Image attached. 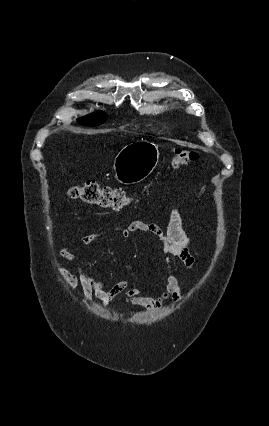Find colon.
I'll return each instance as SVG.
<instances>
[{"mask_svg":"<svg viewBox=\"0 0 269 426\" xmlns=\"http://www.w3.org/2000/svg\"><path fill=\"white\" fill-rule=\"evenodd\" d=\"M197 159L198 153L196 151L178 148L173 151L171 167L176 169L180 166L192 164ZM69 194L73 199L105 209L119 210L132 203V198L123 188L105 186L95 181H86L74 185Z\"/></svg>","mask_w":269,"mask_h":426,"instance_id":"5ec220e1","label":"colon"}]
</instances>
